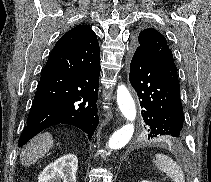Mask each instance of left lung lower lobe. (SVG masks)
Masks as SVG:
<instances>
[{"mask_svg":"<svg viewBox=\"0 0 211 182\" xmlns=\"http://www.w3.org/2000/svg\"><path fill=\"white\" fill-rule=\"evenodd\" d=\"M129 81L136 91L148 139L178 141L184 134L180 89L140 49L132 53Z\"/></svg>","mask_w":211,"mask_h":182,"instance_id":"left-lung-lower-lobe-1","label":"left lung lower lobe"}]
</instances>
